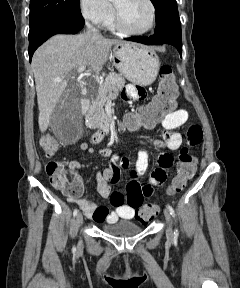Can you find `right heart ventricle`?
Instances as JSON below:
<instances>
[{
	"mask_svg": "<svg viewBox=\"0 0 240 288\" xmlns=\"http://www.w3.org/2000/svg\"><path fill=\"white\" fill-rule=\"evenodd\" d=\"M106 25H107L110 29H113V30L118 29L113 19H111L108 23H106Z\"/></svg>",
	"mask_w": 240,
	"mask_h": 288,
	"instance_id": "obj_1",
	"label": "right heart ventricle"
}]
</instances>
